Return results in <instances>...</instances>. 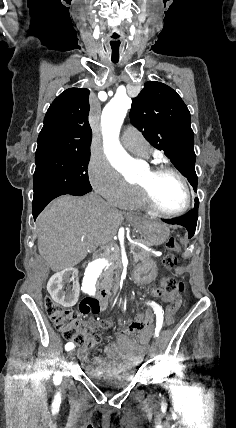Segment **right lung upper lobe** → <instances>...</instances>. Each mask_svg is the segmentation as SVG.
<instances>
[{
	"instance_id": "right-lung-upper-lobe-1",
	"label": "right lung upper lobe",
	"mask_w": 236,
	"mask_h": 428,
	"mask_svg": "<svg viewBox=\"0 0 236 428\" xmlns=\"http://www.w3.org/2000/svg\"><path fill=\"white\" fill-rule=\"evenodd\" d=\"M89 90L70 88L50 105L38 137L36 152L90 151L92 131L88 123Z\"/></svg>"
}]
</instances>
